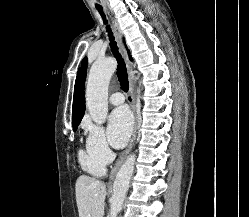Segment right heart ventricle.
<instances>
[{
	"instance_id": "right-heart-ventricle-1",
	"label": "right heart ventricle",
	"mask_w": 249,
	"mask_h": 217,
	"mask_svg": "<svg viewBox=\"0 0 249 217\" xmlns=\"http://www.w3.org/2000/svg\"><path fill=\"white\" fill-rule=\"evenodd\" d=\"M79 162L81 167L93 176H102L105 173V164L90 154L88 150H80Z\"/></svg>"
}]
</instances>
